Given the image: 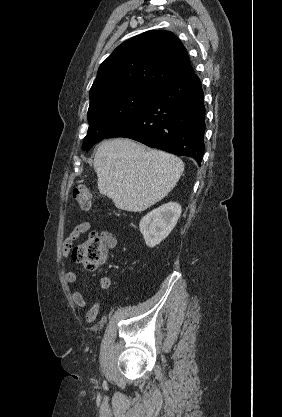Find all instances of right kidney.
<instances>
[{"label": "right kidney", "mask_w": 282, "mask_h": 417, "mask_svg": "<svg viewBox=\"0 0 282 417\" xmlns=\"http://www.w3.org/2000/svg\"><path fill=\"white\" fill-rule=\"evenodd\" d=\"M180 215L181 204L179 202H165L158 206V209L142 217L139 229L147 247H156L164 241L177 225Z\"/></svg>", "instance_id": "ca27d5eb"}]
</instances>
